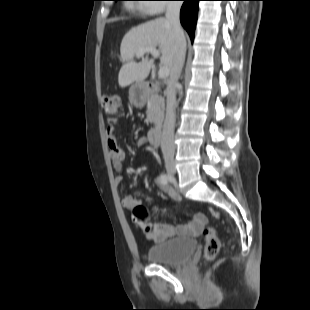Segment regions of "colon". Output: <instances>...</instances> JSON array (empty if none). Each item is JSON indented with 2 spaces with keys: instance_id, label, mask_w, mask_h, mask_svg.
<instances>
[{
  "instance_id": "5ec220e1",
  "label": "colon",
  "mask_w": 310,
  "mask_h": 310,
  "mask_svg": "<svg viewBox=\"0 0 310 310\" xmlns=\"http://www.w3.org/2000/svg\"><path fill=\"white\" fill-rule=\"evenodd\" d=\"M101 106L104 113L111 118V123L114 122V117L118 114L121 108L120 100L115 95H105L101 99ZM133 216L137 221L144 222L147 218V210L142 205H137L133 209ZM205 240L204 255L207 260H213L220 250V240L216 230L208 226L203 231Z\"/></svg>"
}]
</instances>
